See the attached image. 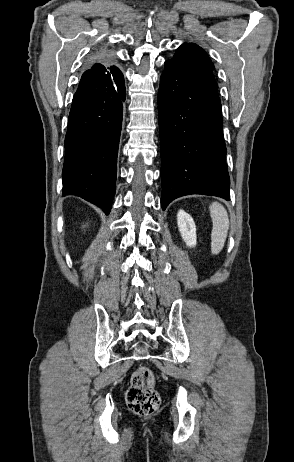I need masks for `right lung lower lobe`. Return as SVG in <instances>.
I'll use <instances>...</instances> for the list:
<instances>
[{"instance_id": "obj_1", "label": "right lung lower lobe", "mask_w": 294, "mask_h": 462, "mask_svg": "<svg viewBox=\"0 0 294 462\" xmlns=\"http://www.w3.org/2000/svg\"><path fill=\"white\" fill-rule=\"evenodd\" d=\"M125 96L122 73L109 80L79 84L65 137L63 195L80 196L106 214L115 195Z\"/></svg>"}]
</instances>
